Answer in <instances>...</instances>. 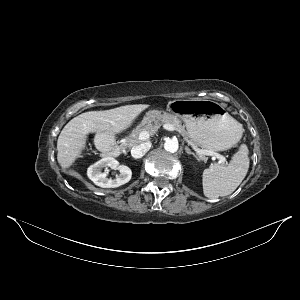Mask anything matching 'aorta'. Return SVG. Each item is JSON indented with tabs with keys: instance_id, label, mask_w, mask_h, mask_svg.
Returning <instances> with one entry per match:
<instances>
[{
	"instance_id": "aorta-1",
	"label": "aorta",
	"mask_w": 300,
	"mask_h": 300,
	"mask_svg": "<svg viewBox=\"0 0 300 300\" xmlns=\"http://www.w3.org/2000/svg\"><path fill=\"white\" fill-rule=\"evenodd\" d=\"M179 143L176 139H167L164 143V149L167 152L175 153L178 151Z\"/></svg>"
}]
</instances>
